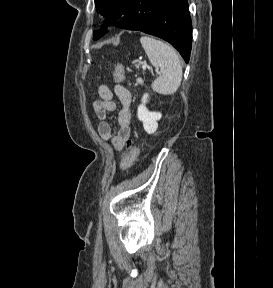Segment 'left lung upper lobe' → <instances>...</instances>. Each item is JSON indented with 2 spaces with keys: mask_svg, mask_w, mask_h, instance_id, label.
<instances>
[{
  "mask_svg": "<svg viewBox=\"0 0 273 288\" xmlns=\"http://www.w3.org/2000/svg\"><path fill=\"white\" fill-rule=\"evenodd\" d=\"M133 1L134 0H95L97 11L103 15L106 20L104 26L94 33V39L100 38L102 33L106 32L108 25L118 27L120 19L128 11Z\"/></svg>",
  "mask_w": 273,
  "mask_h": 288,
  "instance_id": "obj_1",
  "label": "left lung upper lobe"
}]
</instances>
